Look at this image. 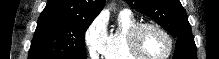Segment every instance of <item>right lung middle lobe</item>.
<instances>
[{
    "instance_id": "dd1d6c3e",
    "label": "right lung middle lobe",
    "mask_w": 219,
    "mask_h": 59,
    "mask_svg": "<svg viewBox=\"0 0 219 59\" xmlns=\"http://www.w3.org/2000/svg\"><path fill=\"white\" fill-rule=\"evenodd\" d=\"M92 21L39 18L28 59H87L84 33Z\"/></svg>"
}]
</instances>
